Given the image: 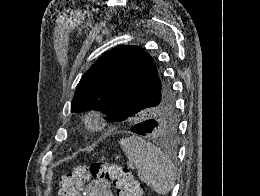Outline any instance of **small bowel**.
<instances>
[{
    "label": "small bowel",
    "mask_w": 260,
    "mask_h": 196,
    "mask_svg": "<svg viewBox=\"0 0 260 196\" xmlns=\"http://www.w3.org/2000/svg\"><path fill=\"white\" fill-rule=\"evenodd\" d=\"M85 196H113L110 183L106 179H94L85 189Z\"/></svg>",
    "instance_id": "obj_1"
}]
</instances>
